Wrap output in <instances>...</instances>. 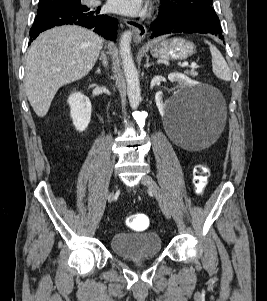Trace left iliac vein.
Returning <instances> with one entry per match:
<instances>
[{
	"mask_svg": "<svg viewBox=\"0 0 267 301\" xmlns=\"http://www.w3.org/2000/svg\"><path fill=\"white\" fill-rule=\"evenodd\" d=\"M141 183L145 185L152 192V194L155 196L156 200L158 201L164 215L166 216V218L170 219L171 210L169 204L163 192L157 185V183L149 175H144L141 178Z\"/></svg>",
	"mask_w": 267,
	"mask_h": 301,
	"instance_id": "obj_1",
	"label": "left iliac vein"
}]
</instances>
